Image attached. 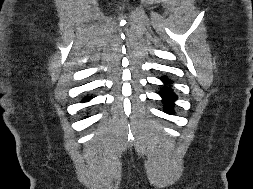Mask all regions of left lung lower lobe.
I'll use <instances>...</instances> for the list:
<instances>
[{
  "label": "left lung lower lobe",
  "mask_w": 253,
  "mask_h": 189,
  "mask_svg": "<svg viewBox=\"0 0 253 189\" xmlns=\"http://www.w3.org/2000/svg\"><path fill=\"white\" fill-rule=\"evenodd\" d=\"M161 80L166 83L168 82V79L166 77L161 78ZM160 96L164 99V103L166 104V112L168 114H172L173 110V101L177 99V96L172 92L171 89H163L160 92Z\"/></svg>",
  "instance_id": "left-lung-lower-lobe-1"
}]
</instances>
